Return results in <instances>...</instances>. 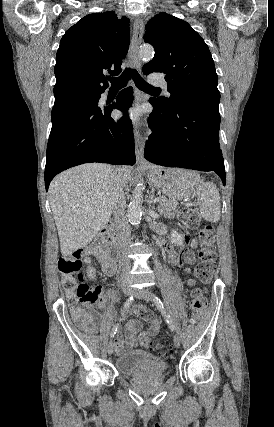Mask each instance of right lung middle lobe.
<instances>
[{
  "instance_id": "right-lung-middle-lobe-1",
  "label": "right lung middle lobe",
  "mask_w": 274,
  "mask_h": 427,
  "mask_svg": "<svg viewBox=\"0 0 274 427\" xmlns=\"http://www.w3.org/2000/svg\"><path fill=\"white\" fill-rule=\"evenodd\" d=\"M100 94H92V95H81V96H75L72 97L66 101H64L63 103L59 104V105H55L53 107L52 112L61 110L63 108H67L70 106H73L75 104L81 103V102H85V101H95L97 100V98L99 97Z\"/></svg>"
}]
</instances>
